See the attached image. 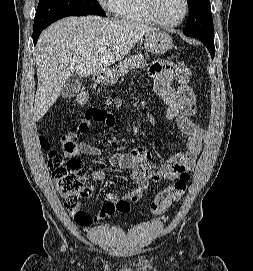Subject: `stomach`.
<instances>
[{"label": "stomach", "instance_id": "1", "mask_svg": "<svg viewBox=\"0 0 253 271\" xmlns=\"http://www.w3.org/2000/svg\"><path fill=\"white\" fill-rule=\"evenodd\" d=\"M173 45L172 38L164 31L156 30L145 35L144 47L148 52L155 55L166 53ZM99 83L112 84L118 79L116 69H107L96 75Z\"/></svg>", "mask_w": 253, "mask_h": 271}]
</instances>
